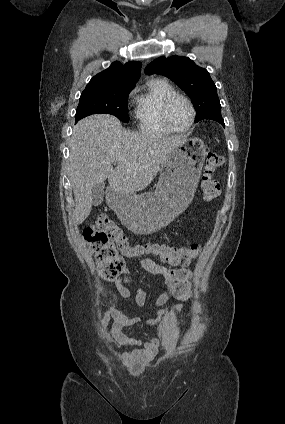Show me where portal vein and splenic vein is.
Returning a JSON list of instances; mask_svg holds the SVG:
<instances>
[{"instance_id": "1", "label": "portal vein and splenic vein", "mask_w": 285, "mask_h": 424, "mask_svg": "<svg viewBox=\"0 0 285 424\" xmlns=\"http://www.w3.org/2000/svg\"><path fill=\"white\" fill-rule=\"evenodd\" d=\"M119 160L124 161L125 163H127V162L125 161V159H124V158H122V157H119ZM127 164H128V163H127Z\"/></svg>"}]
</instances>
